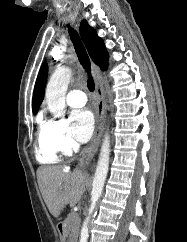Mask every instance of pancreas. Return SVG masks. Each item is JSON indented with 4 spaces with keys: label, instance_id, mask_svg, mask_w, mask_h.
Returning <instances> with one entry per match:
<instances>
[{
    "label": "pancreas",
    "instance_id": "cf45deb5",
    "mask_svg": "<svg viewBox=\"0 0 187 242\" xmlns=\"http://www.w3.org/2000/svg\"><path fill=\"white\" fill-rule=\"evenodd\" d=\"M68 242H77L80 230V215L71 213L64 222Z\"/></svg>",
    "mask_w": 187,
    "mask_h": 242
}]
</instances>
